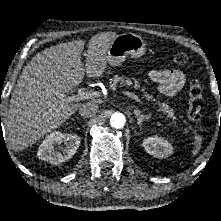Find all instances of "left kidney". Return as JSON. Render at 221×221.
<instances>
[{
  "label": "left kidney",
  "instance_id": "left-kidney-1",
  "mask_svg": "<svg viewBox=\"0 0 221 221\" xmlns=\"http://www.w3.org/2000/svg\"><path fill=\"white\" fill-rule=\"evenodd\" d=\"M143 147L147 153L155 158H167L173 154L172 145L159 136L144 139Z\"/></svg>",
  "mask_w": 221,
  "mask_h": 221
}]
</instances>
